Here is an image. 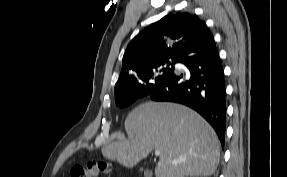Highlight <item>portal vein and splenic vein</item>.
Wrapping results in <instances>:
<instances>
[{
  "label": "portal vein and splenic vein",
  "instance_id": "obj_1",
  "mask_svg": "<svg viewBox=\"0 0 287 177\" xmlns=\"http://www.w3.org/2000/svg\"><path fill=\"white\" fill-rule=\"evenodd\" d=\"M155 155L159 156L160 155V150H155ZM172 164H177V162L173 161Z\"/></svg>",
  "mask_w": 287,
  "mask_h": 177
}]
</instances>
